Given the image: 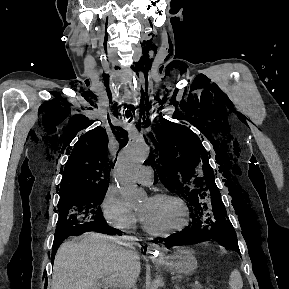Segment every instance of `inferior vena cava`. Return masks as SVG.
<instances>
[{
    "mask_svg": "<svg viewBox=\"0 0 289 289\" xmlns=\"http://www.w3.org/2000/svg\"><path fill=\"white\" fill-rule=\"evenodd\" d=\"M134 245H136V243L133 241V239H131V242L129 243L130 248L129 257L132 262H134L139 257L138 252L136 251ZM123 286L124 289H137L136 278H126Z\"/></svg>",
    "mask_w": 289,
    "mask_h": 289,
    "instance_id": "1",
    "label": "inferior vena cava"
}]
</instances>
